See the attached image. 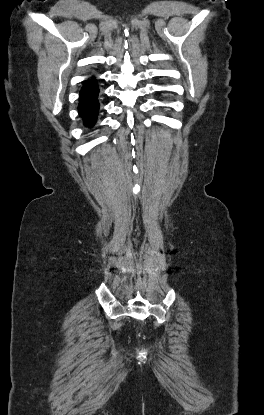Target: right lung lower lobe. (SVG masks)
Returning <instances> with one entry per match:
<instances>
[{
  "instance_id": "right-lung-lower-lobe-1",
  "label": "right lung lower lobe",
  "mask_w": 264,
  "mask_h": 415,
  "mask_svg": "<svg viewBox=\"0 0 264 415\" xmlns=\"http://www.w3.org/2000/svg\"><path fill=\"white\" fill-rule=\"evenodd\" d=\"M98 93L95 79L84 82L80 92L78 111L85 126L91 127L96 122L99 111Z\"/></svg>"
}]
</instances>
